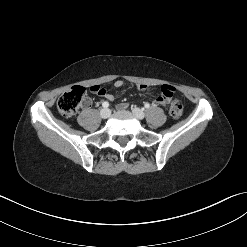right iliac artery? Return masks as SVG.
Returning a JSON list of instances; mask_svg holds the SVG:
<instances>
[{"instance_id": "82829eb1", "label": "right iliac artery", "mask_w": 247, "mask_h": 247, "mask_svg": "<svg viewBox=\"0 0 247 247\" xmlns=\"http://www.w3.org/2000/svg\"><path fill=\"white\" fill-rule=\"evenodd\" d=\"M102 106H103L104 108H107V107L109 106V103H108L107 101H105V102L102 103Z\"/></svg>"}]
</instances>
